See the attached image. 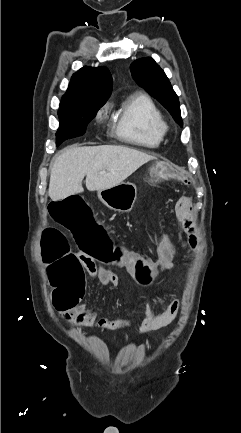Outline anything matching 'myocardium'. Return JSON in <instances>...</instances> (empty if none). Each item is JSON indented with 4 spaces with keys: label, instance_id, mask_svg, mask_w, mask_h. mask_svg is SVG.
Returning <instances> with one entry per match:
<instances>
[{
    "label": "myocardium",
    "instance_id": "myocardium-1",
    "mask_svg": "<svg viewBox=\"0 0 241 433\" xmlns=\"http://www.w3.org/2000/svg\"><path fill=\"white\" fill-rule=\"evenodd\" d=\"M167 130H168V126L164 123V126H163V131H164V133H166Z\"/></svg>",
    "mask_w": 241,
    "mask_h": 433
}]
</instances>
